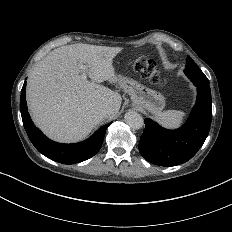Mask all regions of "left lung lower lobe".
Wrapping results in <instances>:
<instances>
[{
    "instance_id": "obj_1",
    "label": "left lung lower lobe",
    "mask_w": 232,
    "mask_h": 232,
    "mask_svg": "<svg viewBox=\"0 0 232 232\" xmlns=\"http://www.w3.org/2000/svg\"><path fill=\"white\" fill-rule=\"evenodd\" d=\"M212 102L210 87H197V100L189 119L179 129L167 130L149 118L140 138L141 155L150 163L171 167L190 160L210 131Z\"/></svg>"
}]
</instances>
